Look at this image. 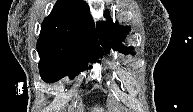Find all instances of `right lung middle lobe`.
<instances>
[{
  "mask_svg": "<svg viewBox=\"0 0 193 112\" xmlns=\"http://www.w3.org/2000/svg\"><path fill=\"white\" fill-rule=\"evenodd\" d=\"M37 50L40 75L48 83L56 82L66 75L73 78L85 70L88 62H95L103 54L102 50L90 45L59 38H39Z\"/></svg>",
  "mask_w": 193,
  "mask_h": 112,
  "instance_id": "1",
  "label": "right lung middle lobe"
}]
</instances>
